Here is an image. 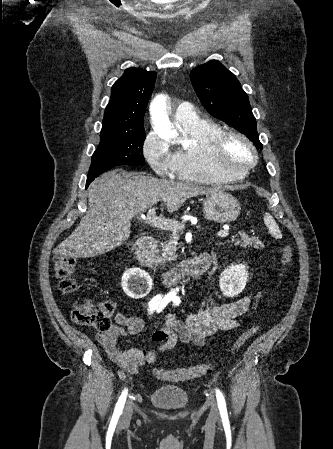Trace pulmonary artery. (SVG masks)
Returning <instances> with one entry per match:
<instances>
[{"instance_id":"pulmonary-artery-1","label":"pulmonary artery","mask_w":333,"mask_h":449,"mask_svg":"<svg viewBox=\"0 0 333 449\" xmlns=\"http://www.w3.org/2000/svg\"><path fill=\"white\" fill-rule=\"evenodd\" d=\"M174 118L178 124H189L198 120L194 107L188 102H182L176 109Z\"/></svg>"}]
</instances>
